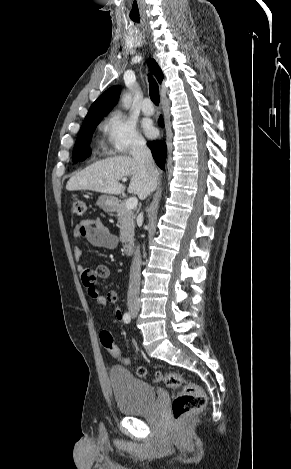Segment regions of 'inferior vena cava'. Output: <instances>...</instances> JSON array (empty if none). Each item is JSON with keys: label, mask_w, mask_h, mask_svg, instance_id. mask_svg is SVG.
Instances as JSON below:
<instances>
[{"label": "inferior vena cava", "mask_w": 291, "mask_h": 469, "mask_svg": "<svg viewBox=\"0 0 291 469\" xmlns=\"http://www.w3.org/2000/svg\"><path fill=\"white\" fill-rule=\"evenodd\" d=\"M130 153L132 154L133 158L136 161L144 164L148 170H152L154 168V161H153L151 152L149 148L146 146L145 140L143 138L136 137L134 139ZM140 270H141V256H140V248L139 246H137L135 253H134V258L132 261L128 294H127V304L129 307L140 305V300H139L140 280H141Z\"/></svg>", "instance_id": "obj_1"}]
</instances>
